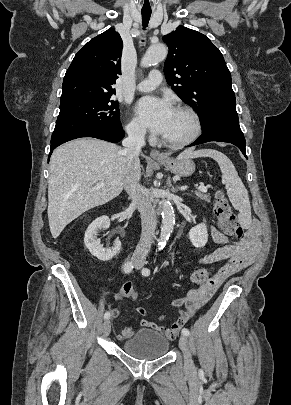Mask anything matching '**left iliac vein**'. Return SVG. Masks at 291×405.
<instances>
[{
  "label": "left iliac vein",
  "instance_id": "4c4485c4",
  "mask_svg": "<svg viewBox=\"0 0 291 405\" xmlns=\"http://www.w3.org/2000/svg\"><path fill=\"white\" fill-rule=\"evenodd\" d=\"M138 268V267H137ZM179 346L184 354V358H185V367L188 370H193L194 369V363L192 360V356L189 350V346H188V339L185 335H181L180 339H179Z\"/></svg>",
  "mask_w": 291,
  "mask_h": 405
}]
</instances>
